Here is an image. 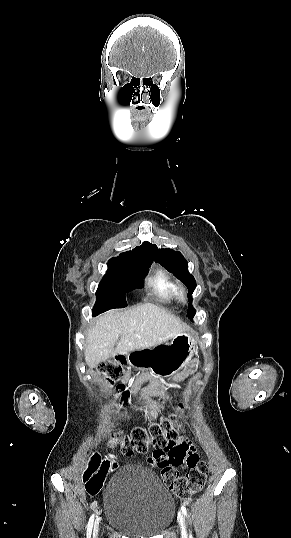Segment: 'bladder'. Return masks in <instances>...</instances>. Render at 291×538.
I'll list each match as a JSON object with an SVG mask.
<instances>
[{
	"label": "bladder",
	"mask_w": 291,
	"mask_h": 538,
	"mask_svg": "<svg viewBox=\"0 0 291 538\" xmlns=\"http://www.w3.org/2000/svg\"><path fill=\"white\" fill-rule=\"evenodd\" d=\"M109 525L132 538H152L171 523L174 500L158 478L138 465L120 468L104 493Z\"/></svg>",
	"instance_id": "obj_1"
}]
</instances>
